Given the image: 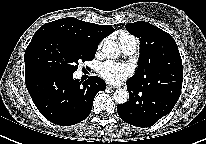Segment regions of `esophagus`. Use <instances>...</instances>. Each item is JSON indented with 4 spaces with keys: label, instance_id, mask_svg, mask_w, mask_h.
<instances>
[{
    "label": "esophagus",
    "instance_id": "34e87169",
    "mask_svg": "<svg viewBox=\"0 0 206 144\" xmlns=\"http://www.w3.org/2000/svg\"><path fill=\"white\" fill-rule=\"evenodd\" d=\"M107 88L110 89V90L116 89V87H115V86H112V85H108Z\"/></svg>",
    "mask_w": 206,
    "mask_h": 144
}]
</instances>
